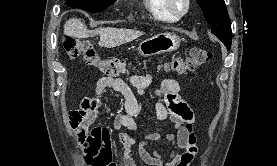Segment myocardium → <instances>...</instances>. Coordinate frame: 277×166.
I'll return each instance as SVG.
<instances>
[{
    "label": "myocardium",
    "instance_id": "obj_1",
    "mask_svg": "<svg viewBox=\"0 0 277 166\" xmlns=\"http://www.w3.org/2000/svg\"><path fill=\"white\" fill-rule=\"evenodd\" d=\"M184 2H185L184 9L179 11L174 7L172 0H164L167 10L176 18H180L189 12L191 7V0H184Z\"/></svg>",
    "mask_w": 277,
    "mask_h": 166
}]
</instances>
